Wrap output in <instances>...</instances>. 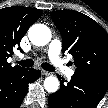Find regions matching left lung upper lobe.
Here are the masks:
<instances>
[{
    "instance_id": "obj_1",
    "label": "left lung upper lobe",
    "mask_w": 108,
    "mask_h": 108,
    "mask_svg": "<svg viewBox=\"0 0 108 108\" xmlns=\"http://www.w3.org/2000/svg\"><path fill=\"white\" fill-rule=\"evenodd\" d=\"M63 38V53L74 57L75 74L108 76V34L93 19L73 10L50 13Z\"/></svg>"
}]
</instances>
